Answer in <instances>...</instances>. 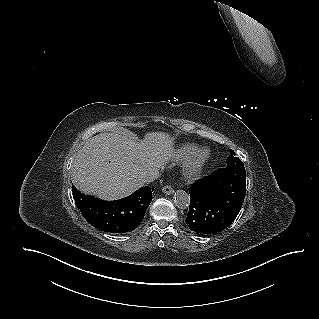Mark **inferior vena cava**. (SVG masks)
<instances>
[{"label": "inferior vena cava", "instance_id": "inferior-vena-cava-1", "mask_svg": "<svg viewBox=\"0 0 319 319\" xmlns=\"http://www.w3.org/2000/svg\"><path fill=\"white\" fill-rule=\"evenodd\" d=\"M158 177H159L158 171L149 172L143 177L142 182L144 184H149L154 182Z\"/></svg>", "mask_w": 319, "mask_h": 319}]
</instances>
